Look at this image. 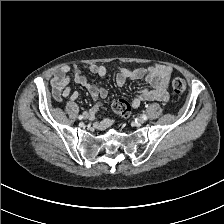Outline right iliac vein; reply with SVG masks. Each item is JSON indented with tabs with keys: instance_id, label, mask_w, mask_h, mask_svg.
<instances>
[{
	"instance_id": "obj_1",
	"label": "right iliac vein",
	"mask_w": 224,
	"mask_h": 224,
	"mask_svg": "<svg viewBox=\"0 0 224 224\" xmlns=\"http://www.w3.org/2000/svg\"><path fill=\"white\" fill-rule=\"evenodd\" d=\"M88 117H89L88 113L85 112V113L83 114V118H84V119H88Z\"/></svg>"
}]
</instances>
